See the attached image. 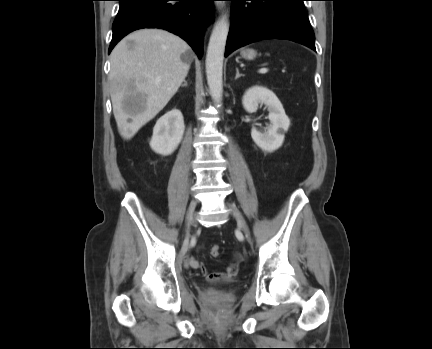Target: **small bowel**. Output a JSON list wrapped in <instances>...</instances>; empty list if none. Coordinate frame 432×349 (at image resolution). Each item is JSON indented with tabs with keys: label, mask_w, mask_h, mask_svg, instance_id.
Masks as SVG:
<instances>
[{
	"label": "small bowel",
	"mask_w": 432,
	"mask_h": 349,
	"mask_svg": "<svg viewBox=\"0 0 432 349\" xmlns=\"http://www.w3.org/2000/svg\"><path fill=\"white\" fill-rule=\"evenodd\" d=\"M238 263H232L225 271L222 272H207L205 268H201L202 274L209 283H227L232 281L238 274Z\"/></svg>",
	"instance_id": "small-bowel-1"
}]
</instances>
